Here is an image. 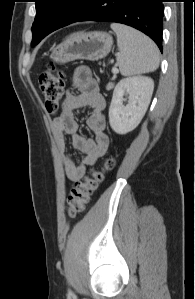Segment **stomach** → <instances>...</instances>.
<instances>
[{"instance_id":"obj_1","label":"stomach","mask_w":195,"mask_h":299,"mask_svg":"<svg viewBox=\"0 0 195 299\" xmlns=\"http://www.w3.org/2000/svg\"><path fill=\"white\" fill-rule=\"evenodd\" d=\"M113 45L112 36L104 31L78 32L54 47L50 58L58 63L85 59L97 61L108 55Z\"/></svg>"}]
</instances>
